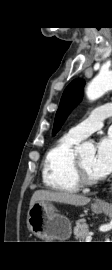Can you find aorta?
Returning <instances> with one entry per match:
<instances>
[{"instance_id": "1", "label": "aorta", "mask_w": 112, "mask_h": 270, "mask_svg": "<svg viewBox=\"0 0 112 270\" xmlns=\"http://www.w3.org/2000/svg\"><path fill=\"white\" fill-rule=\"evenodd\" d=\"M112 89V72L99 73L87 86L86 95L90 101L101 97L106 91ZM96 149L90 142H84L77 148V153L84 157L94 155Z\"/></svg>"}]
</instances>
